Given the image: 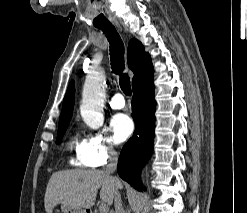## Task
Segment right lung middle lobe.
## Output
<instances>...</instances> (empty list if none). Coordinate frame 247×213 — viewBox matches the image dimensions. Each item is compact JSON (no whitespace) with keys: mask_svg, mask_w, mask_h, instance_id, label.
Returning <instances> with one entry per match:
<instances>
[{"mask_svg":"<svg viewBox=\"0 0 247 213\" xmlns=\"http://www.w3.org/2000/svg\"><path fill=\"white\" fill-rule=\"evenodd\" d=\"M67 127H68V123L59 126L56 143H58L62 139Z\"/></svg>","mask_w":247,"mask_h":213,"instance_id":"1","label":"right lung middle lobe"}]
</instances>
